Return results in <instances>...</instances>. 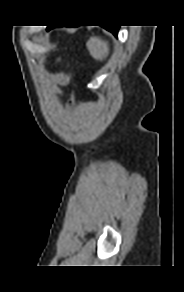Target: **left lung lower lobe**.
I'll return each mask as SVG.
<instances>
[{"label":"left lung lower lobe","mask_w":184,"mask_h":292,"mask_svg":"<svg viewBox=\"0 0 184 292\" xmlns=\"http://www.w3.org/2000/svg\"><path fill=\"white\" fill-rule=\"evenodd\" d=\"M103 27L107 29L108 31L112 32L115 36H117L119 26H111V27L103 26ZM50 28H53V27H48V29Z\"/></svg>","instance_id":"1"}]
</instances>
